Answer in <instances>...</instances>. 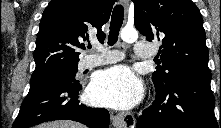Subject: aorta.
<instances>
[{"instance_id": "762f6f07", "label": "aorta", "mask_w": 221, "mask_h": 128, "mask_svg": "<svg viewBox=\"0 0 221 128\" xmlns=\"http://www.w3.org/2000/svg\"><path fill=\"white\" fill-rule=\"evenodd\" d=\"M121 39L127 43H133L138 39V32L134 28L125 27L120 32Z\"/></svg>"}]
</instances>
